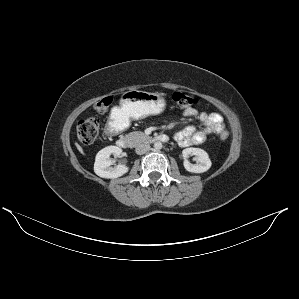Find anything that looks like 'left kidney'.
Masks as SVG:
<instances>
[{
  "mask_svg": "<svg viewBox=\"0 0 299 299\" xmlns=\"http://www.w3.org/2000/svg\"><path fill=\"white\" fill-rule=\"evenodd\" d=\"M184 157V167L187 171L192 173H203L210 169L212 163L208 156V153L200 148H186L182 151ZM195 155L198 160V164L190 163L187 158Z\"/></svg>",
  "mask_w": 299,
  "mask_h": 299,
  "instance_id": "obj_1",
  "label": "left kidney"
}]
</instances>
